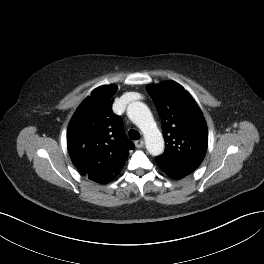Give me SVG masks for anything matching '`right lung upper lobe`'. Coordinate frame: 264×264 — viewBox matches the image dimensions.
I'll return each mask as SVG.
<instances>
[{"label":"right lung upper lobe","mask_w":264,"mask_h":264,"mask_svg":"<svg viewBox=\"0 0 264 264\" xmlns=\"http://www.w3.org/2000/svg\"><path fill=\"white\" fill-rule=\"evenodd\" d=\"M114 85L94 90L74 113L67 147L81 173L97 171L113 177L121 171L134 144L124 134L121 118L112 111Z\"/></svg>","instance_id":"1"}]
</instances>
